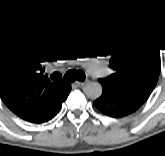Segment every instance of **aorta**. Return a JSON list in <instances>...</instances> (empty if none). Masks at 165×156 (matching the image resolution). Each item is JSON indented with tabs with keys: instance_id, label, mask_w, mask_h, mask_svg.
Wrapping results in <instances>:
<instances>
[{
	"instance_id": "1",
	"label": "aorta",
	"mask_w": 165,
	"mask_h": 156,
	"mask_svg": "<svg viewBox=\"0 0 165 156\" xmlns=\"http://www.w3.org/2000/svg\"><path fill=\"white\" fill-rule=\"evenodd\" d=\"M83 91L88 98L97 99L102 94V86L99 82H88L83 87Z\"/></svg>"
}]
</instances>
